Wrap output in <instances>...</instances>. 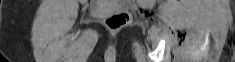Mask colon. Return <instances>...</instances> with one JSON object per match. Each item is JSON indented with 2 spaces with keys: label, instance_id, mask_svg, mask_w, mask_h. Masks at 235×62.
Returning <instances> with one entry per match:
<instances>
[{
  "label": "colon",
  "instance_id": "5ec220e1",
  "mask_svg": "<svg viewBox=\"0 0 235 62\" xmlns=\"http://www.w3.org/2000/svg\"><path fill=\"white\" fill-rule=\"evenodd\" d=\"M131 21V15L128 11H121L106 18L105 23L109 29L117 30L127 26Z\"/></svg>",
  "mask_w": 235,
  "mask_h": 62
}]
</instances>
